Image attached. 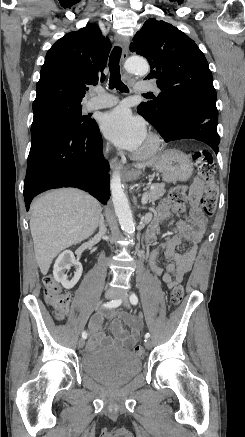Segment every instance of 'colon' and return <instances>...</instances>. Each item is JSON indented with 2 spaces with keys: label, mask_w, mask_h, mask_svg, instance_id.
<instances>
[{
  "label": "colon",
  "mask_w": 245,
  "mask_h": 437,
  "mask_svg": "<svg viewBox=\"0 0 245 437\" xmlns=\"http://www.w3.org/2000/svg\"><path fill=\"white\" fill-rule=\"evenodd\" d=\"M198 173L206 183L205 194L200 199V208L207 215H213L218 197V190L214 181V165L212 155L207 151H197L193 154ZM187 197V188L185 186H177L173 188L169 194V199L173 203L182 204ZM44 296L46 301L54 309L56 317L62 319L69 307L70 295L64 293L53 277L44 279ZM183 298V288L176 286L173 288L170 295L172 305H177ZM134 352L139 357H144L145 350L138 345L134 348Z\"/></svg>",
  "instance_id": "obj_1"
}]
</instances>
